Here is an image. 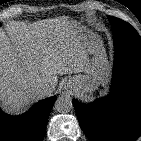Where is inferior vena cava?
<instances>
[{"mask_svg": "<svg viewBox=\"0 0 141 141\" xmlns=\"http://www.w3.org/2000/svg\"><path fill=\"white\" fill-rule=\"evenodd\" d=\"M55 85L50 80H41L36 86L35 90L38 92L41 96H45L49 93H51L52 90H54Z\"/></svg>", "mask_w": 141, "mask_h": 141, "instance_id": "1", "label": "inferior vena cava"}]
</instances>
